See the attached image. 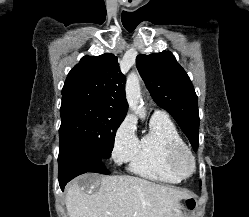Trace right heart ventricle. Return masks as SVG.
<instances>
[{"label":"right heart ventricle","instance_id":"right-heart-ventricle-1","mask_svg":"<svg viewBox=\"0 0 249 217\" xmlns=\"http://www.w3.org/2000/svg\"><path fill=\"white\" fill-rule=\"evenodd\" d=\"M185 145L168 116L153 115L150 129L139 140L129 163V170L143 178L167 184L183 179L170 167L169 155L174 146Z\"/></svg>","mask_w":249,"mask_h":217}]
</instances>
